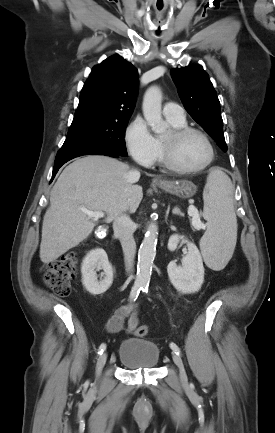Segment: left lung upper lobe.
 Returning a JSON list of instances; mask_svg holds the SVG:
<instances>
[{
    "instance_id": "obj_1",
    "label": "left lung upper lobe",
    "mask_w": 275,
    "mask_h": 433,
    "mask_svg": "<svg viewBox=\"0 0 275 433\" xmlns=\"http://www.w3.org/2000/svg\"><path fill=\"white\" fill-rule=\"evenodd\" d=\"M171 76L186 111L226 152L220 102L203 67L173 68Z\"/></svg>"
}]
</instances>
